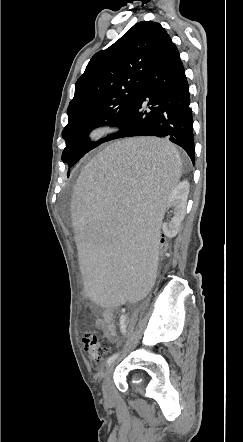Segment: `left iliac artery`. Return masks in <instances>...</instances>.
Listing matches in <instances>:
<instances>
[{"instance_id":"obj_1","label":"left iliac artery","mask_w":243,"mask_h":442,"mask_svg":"<svg viewBox=\"0 0 243 442\" xmlns=\"http://www.w3.org/2000/svg\"><path fill=\"white\" fill-rule=\"evenodd\" d=\"M126 327H127V324H126V315L125 314H123V315H121V317H120V330H121V332L123 333V335H126ZM119 356V353L117 352V353H114L113 355H111L108 359H107V365H110L111 363H113L114 362V360L117 358Z\"/></svg>"}]
</instances>
